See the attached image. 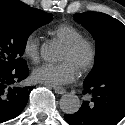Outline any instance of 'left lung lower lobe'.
I'll return each mask as SVG.
<instances>
[{"label": "left lung lower lobe", "instance_id": "1", "mask_svg": "<svg viewBox=\"0 0 125 125\" xmlns=\"http://www.w3.org/2000/svg\"><path fill=\"white\" fill-rule=\"evenodd\" d=\"M83 102L78 112L65 114L70 125H116L125 116V72L108 73L95 81L83 83Z\"/></svg>", "mask_w": 125, "mask_h": 125}]
</instances>
